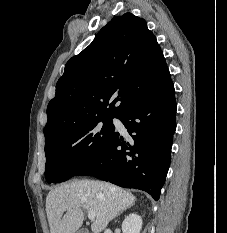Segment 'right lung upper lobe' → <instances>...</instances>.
Segmentation results:
<instances>
[{"mask_svg": "<svg viewBox=\"0 0 227 233\" xmlns=\"http://www.w3.org/2000/svg\"><path fill=\"white\" fill-rule=\"evenodd\" d=\"M170 80L145 20L131 13L115 16L66 63L47 107L45 143L89 121L118 118Z\"/></svg>", "mask_w": 227, "mask_h": 233, "instance_id": "right-lung-upper-lobe-1", "label": "right lung upper lobe"}]
</instances>
